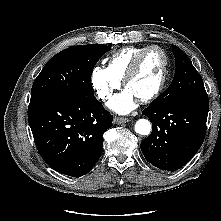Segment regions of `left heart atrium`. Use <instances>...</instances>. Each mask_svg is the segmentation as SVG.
I'll use <instances>...</instances> for the list:
<instances>
[{"label":"left heart atrium","mask_w":221,"mask_h":221,"mask_svg":"<svg viewBox=\"0 0 221 221\" xmlns=\"http://www.w3.org/2000/svg\"><path fill=\"white\" fill-rule=\"evenodd\" d=\"M136 101V97L126 88L114 96L108 106L117 113L126 114L136 107Z\"/></svg>","instance_id":"left-heart-atrium-1"}]
</instances>
